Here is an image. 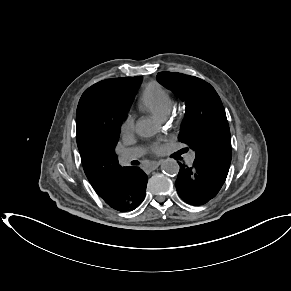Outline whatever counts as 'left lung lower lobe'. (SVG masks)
Returning a JSON list of instances; mask_svg holds the SVG:
<instances>
[{
	"mask_svg": "<svg viewBox=\"0 0 291 291\" xmlns=\"http://www.w3.org/2000/svg\"><path fill=\"white\" fill-rule=\"evenodd\" d=\"M179 165L175 186L181 199L190 205H203L214 198L227 177L197 160L191 167Z\"/></svg>",
	"mask_w": 291,
	"mask_h": 291,
	"instance_id": "1",
	"label": "left lung lower lobe"
}]
</instances>
